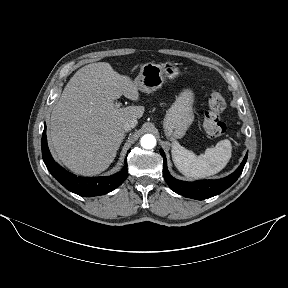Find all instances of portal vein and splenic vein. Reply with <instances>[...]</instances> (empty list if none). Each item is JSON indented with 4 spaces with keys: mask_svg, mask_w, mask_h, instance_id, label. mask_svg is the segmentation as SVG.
<instances>
[{
    "mask_svg": "<svg viewBox=\"0 0 288 288\" xmlns=\"http://www.w3.org/2000/svg\"><path fill=\"white\" fill-rule=\"evenodd\" d=\"M115 106H116V107H120V106H121V103H115Z\"/></svg>",
    "mask_w": 288,
    "mask_h": 288,
    "instance_id": "portal-vein-and-splenic-vein-1",
    "label": "portal vein and splenic vein"
}]
</instances>
